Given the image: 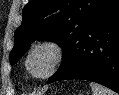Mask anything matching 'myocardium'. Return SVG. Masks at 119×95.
I'll list each match as a JSON object with an SVG mask.
<instances>
[{"label": "myocardium", "mask_w": 119, "mask_h": 95, "mask_svg": "<svg viewBox=\"0 0 119 95\" xmlns=\"http://www.w3.org/2000/svg\"><path fill=\"white\" fill-rule=\"evenodd\" d=\"M50 49L53 52V60L52 63L49 67V69L43 73V74H34L30 68H29V60L33 53L39 49ZM65 47L63 44H61L59 41L54 40V39H43L40 40L36 43H34L28 50L25 60H24V65L25 69L28 72L30 76L36 79H47L50 78L52 75L55 74V72L58 70V68L61 66L62 62L64 61L65 58Z\"/></svg>", "instance_id": "f54148a6"}]
</instances>
